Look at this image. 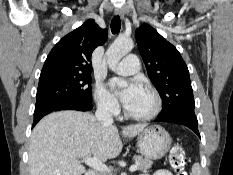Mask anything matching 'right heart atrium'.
I'll return each instance as SVG.
<instances>
[{
    "label": "right heart atrium",
    "mask_w": 233,
    "mask_h": 175,
    "mask_svg": "<svg viewBox=\"0 0 233 175\" xmlns=\"http://www.w3.org/2000/svg\"><path fill=\"white\" fill-rule=\"evenodd\" d=\"M94 99L96 105L103 112L115 115L119 111V103L113 93H111L104 84L97 83L94 89Z\"/></svg>",
    "instance_id": "right-heart-atrium-1"
}]
</instances>
